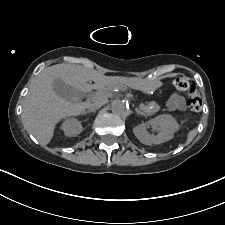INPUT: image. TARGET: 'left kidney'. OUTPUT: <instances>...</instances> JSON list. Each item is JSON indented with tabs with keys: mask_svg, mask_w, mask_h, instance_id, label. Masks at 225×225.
Masks as SVG:
<instances>
[{
	"mask_svg": "<svg viewBox=\"0 0 225 225\" xmlns=\"http://www.w3.org/2000/svg\"><path fill=\"white\" fill-rule=\"evenodd\" d=\"M149 125L157 126L159 133L157 135L149 134L146 129ZM179 129V124L169 114H163L142 123L133 128L136 138L145 145L161 144L171 140L174 133Z\"/></svg>",
	"mask_w": 225,
	"mask_h": 225,
	"instance_id": "5707ae66",
	"label": "left kidney"
}]
</instances>
